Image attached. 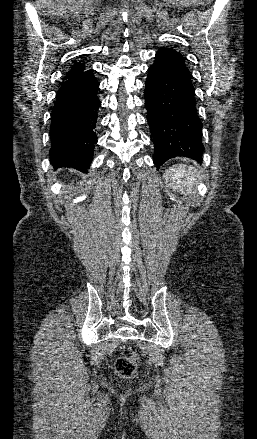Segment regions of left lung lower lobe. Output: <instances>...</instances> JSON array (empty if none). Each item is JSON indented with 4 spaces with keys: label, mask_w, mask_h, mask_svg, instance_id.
<instances>
[{
    "label": "left lung lower lobe",
    "mask_w": 257,
    "mask_h": 439,
    "mask_svg": "<svg viewBox=\"0 0 257 439\" xmlns=\"http://www.w3.org/2000/svg\"><path fill=\"white\" fill-rule=\"evenodd\" d=\"M145 84V106L156 167L177 156L201 162L203 125L197 115L195 90L182 55L171 48L158 50Z\"/></svg>",
    "instance_id": "0a47b994"
}]
</instances>
